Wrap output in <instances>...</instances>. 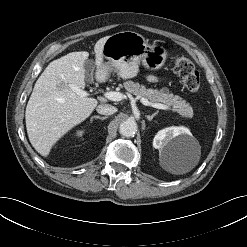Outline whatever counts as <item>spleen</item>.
<instances>
[{
  "label": "spleen",
  "instance_id": "1",
  "mask_svg": "<svg viewBox=\"0 0 247 247\" xmlns=\"http://www.w3.org/2000/svg\"><path fill=\"white\" fill-rule=\"evenodd\" d=\"M188 170H181L180 172H178L179 174H182V173H185L187 172Z\"/></svg>",
  "mask_w": 247,
  "mask_h": 247
}]
</instances>
